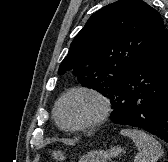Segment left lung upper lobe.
<instances>
[{
	"label": "left lung upper lobe",
	"instance_id": "obj_1",
	"mask_svg": "<svg viewBox=\"0 0 168 162\" xmlns=\"http://www.w3.org/2000/svg\"><path fill=\"white\" fill-rule=\"evenodd\" d=\"M165 25L140 0H119L95 12L75 36L58 74L70 71L82 86L112 99L114 91Z\"/></svg>",
	"mask_w": 168,
	"mask_h": 162
}]
</instances>
